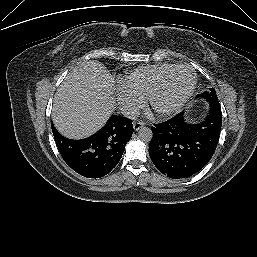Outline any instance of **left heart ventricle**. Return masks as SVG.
<instances>
[{
	"label": "left heart ventricle",
	"instance_id": "obj_1",
	"mask_svg": "<svg viewBox=\"0 0 257 257\" xmlns=\"http://www.w3.org/2000/svg\"><path fill=\"white\" fill-rule=\"evenodd\" d=\"M191 81L192 75L188 70L179 69L173 72L156 98L155 105L158 108H166L175 103L186 93Z\"/></svg>",
	"mask_w": 257,
	"mask_h": 257
}]
</instances>
